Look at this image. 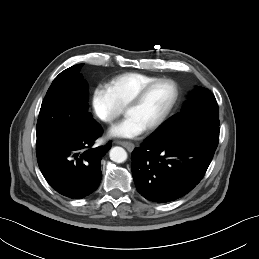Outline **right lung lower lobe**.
<instances>
[{
  "instance_id": "right-lung-lower-lobe-1",
  "label": "right lung lower lobe",
  "mask_w": 259,
  "mask_h": 259,
  "mask_svg": "<svg viewBox=\"0 0 259 259\" xmlns=\"http://www.w3.org/2000/svg\"><path fill=\"white\" fill-rule=\"evenodd\" d=\"M102 127L93 120L87 126L50 133L36 144L37 162L49 185L61 195L84 198L101 181L100 161L111 144L92 147Z\"/></svg>"
}]
</instances>
